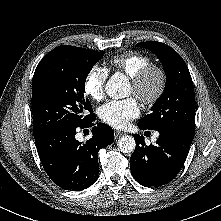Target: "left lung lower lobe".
I'll list each match as a JSON object with an SVG mask.
<instances>
[{"label":"left lung lower lobe","mask_w":221,"mask_h":221,"mask_svg":"<svg viewBox=\"0 0 221 221\" xmlns=\"http://www.w3.org/2000/svg\"><path fill=\"white\" fill-rule=\"evenodd\" d=\"M139 128L146 130L142 125ZM160 135L154 145H145L142 136L133 135L136 148L130 158L135 180L147 187H159L173 180L181 170L194 133L178 127L157 130Z\"/></svg>","instance_id":"1"}]
</instances>
